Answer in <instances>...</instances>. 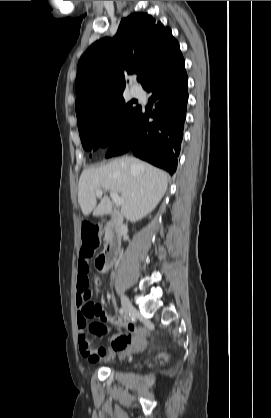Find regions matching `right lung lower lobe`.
<instances>
[{
  "label": "right lung lower lobe",
  "instance_id": "1",
  "mask_svg": "<svg viewBox=\"0 0 271 418\" xmlns=\"http://www.w3.org/2000/svg\"><path fill=\"white\" fill-rule=\"evenodd\" d=\"M187 86L188 78L182 60L145 89L152 93L149 103L155 106V110L148 112L140 106L130 121L110 137L106 157L132 151L135 156L172 175L177 167L183 138Z\"/></svg>",
  "mask_w": 271,
  "mask_h": 418
}]
</instances>
